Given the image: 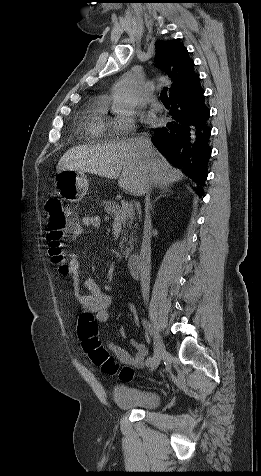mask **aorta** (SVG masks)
<instances>
[{"label":"aorta","instance_id":"obj_1","mask_svg":"<svg viewBox=\"0 0 261 476\" xmlns=\"http://www.w3.org/2000/svg\"><path fill=\"white\" fill-rule=\"evenodd\" d=\"M138 97V83L135 76L121 79L113 95V110L117 113H131L136 106Z\"/></svg>","mask_w":261,"mask_h":476}]
</instances>
